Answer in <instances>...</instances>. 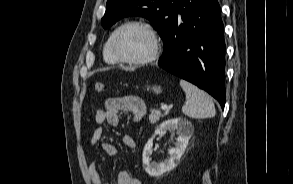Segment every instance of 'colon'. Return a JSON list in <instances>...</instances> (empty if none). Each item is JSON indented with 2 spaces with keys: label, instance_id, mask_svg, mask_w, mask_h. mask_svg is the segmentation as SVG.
Returning a JSON list of instances; mask_svg holds the SVG:
<instances>
[{
  "label": "colon",
  "instance_id": "colon-1",
  "mask_svg": "<svg viewBox=\"0 0 293 184\" xmlns=\"http://www.w3.org/2000/svg\"><path fill=\"white\" fill-rule=\"evenodd\" d=\"M105 90V85L102 82H96L94 84V91L96 93H102Z\"/></svg>",
  "mask_w": 293,
  "mask_h": 184
}]
</instances>
